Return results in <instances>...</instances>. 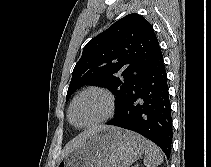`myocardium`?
Masks as SVG:
<instances>
[{"instance_id": "obj_1", "label": "myocardium", "mask_w": 211, "mask_h": 167, "mask_svg": "<svg viewBox=\"0 0 211 167\" xmlns=\"http://www.w3.org/2000/svg\"><path fill=\"white\" fill-rule=\"evenodd\" d=\"M89 92L100 93L106 98L107 112L103 117L99 118L98 120H95V121L85 124V125H77L72 119L73 107L80 97H82L83 95H85L86 93H89ZM114 111H115V99H114L113 94L108 89H106L102 86L93 85V86H88V87L84 88L73 98V100L69 106V110H68V119L74 127L79 128V129H86V128H91V127L97 126L99 124H102V123L108 121L113 116Z\"/></svg>"}]
</instances>
